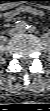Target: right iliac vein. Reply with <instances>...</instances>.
Masks as SVG:
<instances>
[{"mask_svg": "<svg viewBox=\"0 0 50 111\" xmlns=\"http://www.w3.org/2000/svg\"><path fill=\"white\" fill-rule=\"evenodd\" d=\"M17 32H18V31H17L16 28H12V29L9 30V35H10V36H13V35H15Z\"/></svg>", "mask_w": 50, "mask_h": 111, "instance_id": "obj_1", "label": "right iliac vein"}]
</instances>
